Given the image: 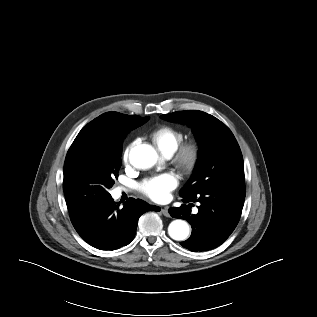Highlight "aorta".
I'll return each mask as SVG.
<instances>
[{
	"mask_svg": "<svg viewBox=\"0 0 317 317\" xmlns=\"http://www.w3.org/2000/svg\"><path fill=\"white\" fill-rule=\"evenodd\" d=\"M129 160L135 168L146 170L150 169L158 162L159 156L152 146L141 144L130 150ZM168 233L172 239L183 241L187 239L190 233V227L186 221L176 219L169 224Z\"/></svg>",
	"mask_w": 317,
	"mask_h": 317,
	"instance_id": "obj_1",
	"label": "aorta"
}]
</instances>
